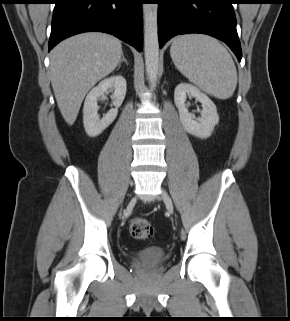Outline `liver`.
Returning a JSON list of instances; mask_svg holds the SVG:
<instances>
[{"label": "liver", "instance_id": "obj_1", "mask_svg": "<svg viewBox=\"0 0 290 321\" xmlns=\"http://www.w3.org/2000/svg\"><path fill=\"white\" fill-rule=\"evenodd\" d=\"M122 54L120 40L101 32L72 36L51 51V84L69 125L75 122L85 95L117 67Z\"/></svg>", "mask_w": 290, "mask_h": 321}]
</instances>
